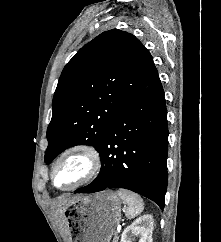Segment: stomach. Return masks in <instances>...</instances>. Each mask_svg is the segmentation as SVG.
<instances>
[{
  "mask_svg": "<svg viewBox=\"0 0 221 242\" xmlns=\"http://www.w3.org/2000/svg\"><path fill=\"white\" fill-rule=\"evenodd\" d=\"M70 242H110L121 219V201L111 191L74 198L64 209Z\"/></svg>",
  "mask_w": 221,
  "mask_h": 242,
  "instance_id": "0dacf381",
  "label": "stomach"
}]
</instances>
